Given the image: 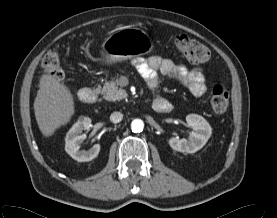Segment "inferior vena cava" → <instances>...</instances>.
<instances>
[{
	"label": "inferior vena cava",
	"mask_w": 277,
	"mask_h": 218,
	"mask_svg": "<svg viewBox=\"0 0 277 218\" xmlns=\"http://www.w3.org/2000/svg\"><path fill=\"white\" fill-rule=\"evenodd\" d=\"M123 119V114L121 112H113L110 115V121L113 123H119Z\"/></svg>",
	"instance_id": "602c4592"
}]
</instances>
